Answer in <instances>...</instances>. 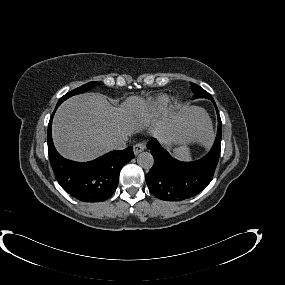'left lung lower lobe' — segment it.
Here are the masks:
<instances>
[{
    "label": "left lung lower lobe",
    "mask_w": 285,
    "mask_h": 285,
    "mask_svg": "<svg viewBox=\"0 0 285 285\" xmlns=\"http://www.w3.org/2000/svg\"><path fill=\"white\" fill-rule=\"evenodd\" d=\"M218 117L215 144L207 156L194 162H181L161 147L156 139L147 148L154 158V165L146 175V183L152 194L166 201H180L197 195L212 180L221 151V118L214 100Z\"/></svg>",
    "instance_id": "1"
}]
</instances>
